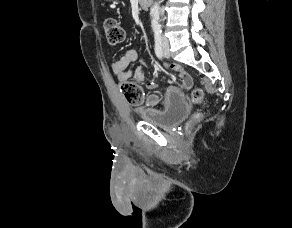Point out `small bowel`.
<instances>
[{"label": "small bowel", "instance_id": "obj_1", "mask_svg": "<svg viewBox=\"0 0 292 228\" xmlns=\"http://www.w3.org/2000/svg\"><path fill=\"white\" fill-rule=\"evenodd\" d=\"M139 57L140 53L138 50L129 49L120 57V59L112 63V72L119 81L127 80L131 77L137 81H143L145 79V73L141 67H137L134 70L128 69V66L137 61ZM170 69L178 76L183 88L190 89L192 87L193 82L191 76L180 65L172 64L170 65ZM160 101L161 96L159 91L150 93L144 100L146 107L137 108L136 111L141 116L159 114L161 109L155 108L154 106ZM182 101H184V95L182 92L174 86H168L162 99V108L176 105Z\"/></svg>", "mask_w": 292, "mask_h": 228}]
</instances>
